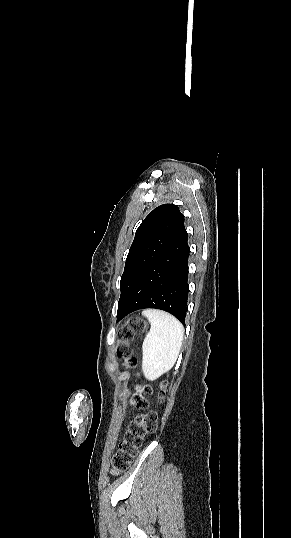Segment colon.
I'll list each match as a JSON object with an SVG mask.
<instances>
[{"instance_id":"obj_1","label":"colon","mask_w":291,"mask_h":538,"mask_svg":"<svg viewBox=\"0 0 291 538\" xmlns=\"http://www.w3.org/2000/svg\"><path fill=\"white\" fill-rule=\"evenodd\" d=\"M146 327V322L139 318L133 317L128 320L127 325L121 329V343L117 348V356L124 360L128 367H133L136 361L131 356L129 341L134 337L135 331H142ZM165 384L161 385L164 391ZM152 393V388L148 384L137 385L136 392L133 395V405L140 410L130 422L123 440L112 459V471L120 473L126 471L132 460L138 453L144 437L153 432L157 426V416L152 411H146L149 406L147 395ZM161 397V395H160Z\"/></svg>"}]
</instances>
